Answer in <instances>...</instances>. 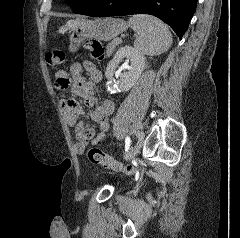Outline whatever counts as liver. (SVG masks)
Returning a JSON list of instances; mask_svg holds the SVG:
<instances>
[{
    "label": "liver",
    "instance_id": "liver-1",
    "mask_svg": "<svg viewBox=\"0 0 240 238\" xmlns=\"http://www.w3.org/2000/svg\"><path fill=\"white\" fill-rule=\"evenodd\" d=\"M82 20L76 19V20H69L67 21L65 26L60 27L59 33H65L67 30L76 29L81 25Z\"/></svg>",
    "mask_w": 240,
    "mask_h": 238
}]
</instances>
